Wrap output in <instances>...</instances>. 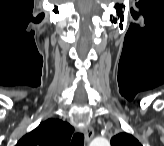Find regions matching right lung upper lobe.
Returning <instances> with one entry per match:
<instances>
[{
  "mask_svg": "<svg viewBox=\"0 0 164 146\" xmlns=\"http://www.w3.org/2000/svg\"><path fill=\"white\" fill-rule=\"evenodd\" d=\"M73 131L67 122L48 119L23 136L16 146H68Z\"/></svg>",
  "mask_w": 164,
  "mask_h": 146,
  "instance_id": "1",
  "label": "right lung upper lobe"
}]
</instances>
